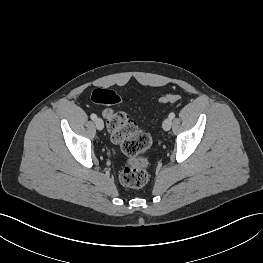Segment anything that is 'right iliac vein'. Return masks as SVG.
I'll use <instances>...</instances> for the list:
<instances>
[{
    "mask_svg": "<svg viewBox=\"0 0 263 263\" xmlns=\"http://www.w3.org/2000/svg\"><path fill=\"white\" fill-rule=\"evenodd\" d=\"M95 125L98 130H102L104 128V123L101 118H96L95 119Z\"/></svg>",
    "mask_w": 263,
    "mask_h": 263,
    "instance_id": "right-iliac-vein-1",
    "label": "right iliac vein"
}]
</instances>
